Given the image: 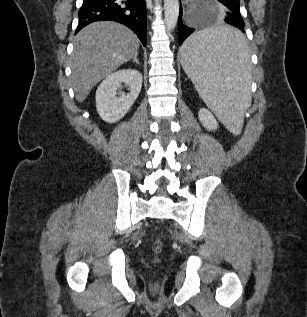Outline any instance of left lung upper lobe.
<instances>
[{"label":"left lung upper lobe","mask_w":307,"mask_h":317,"mask_svg":"<svg viewBox=\"0 0 307 317\" xmlns=\"http://www.w3.org/2000/svg\"><path fill=\"white\" fill-rule=\"evenodd\" d=\"M235 10L240 13L239 7H240V2L239 0H226Z\"/></svg>","instance_id":"left-lung-upper-lobe-1"}]
</instances>
